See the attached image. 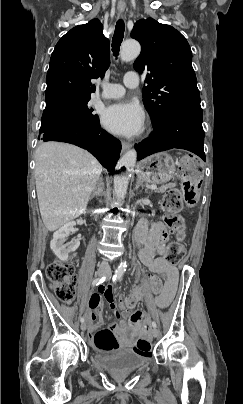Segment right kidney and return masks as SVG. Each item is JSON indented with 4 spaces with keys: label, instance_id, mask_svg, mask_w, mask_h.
<instances>
[{
    "label": "right kidney",
    "instance_id": "ca27d5eb",
    "mask_svg": "<svg viewBox=\"0 0 243 404\" xmlns=\"http://www.w3.org/2000/svg\"><path fill=\"white\" fill-rule=\"evenodd\" d=\"M74 226H76L75 222H68V224H64L62 228H59L57 232L53 234V240L50 242V248L53 250L55 256L65 262L68 260V256L70 252H75L77 248L80 246L79 240H71L69 244H65L68 236L76 232Z\"/></svg>",
    "mask_w": 243,
    "mask_h": 404
}]
</instances>
